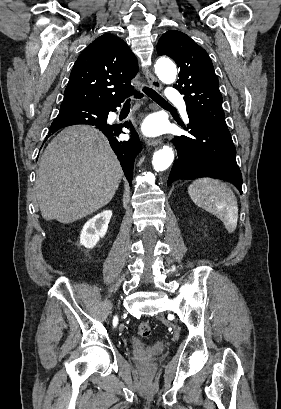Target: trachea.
<instances>
[{"label":"trachea","instance_id":"1","mask_svg":"<svg viewBox=\"0 0 281 409\" xmlns=\"http://www.w3.org/2000/svg\"><path fill=\"white\" fill-rule=\"evenodd\" d=\"M143 92L148 95L154 102L159 103V104H164V105H170L167 100H165L161 95H159L155 90L149 87H144ZM126 102H130V99H128Z\"/></svg>","mask_w":281,"mask_h":409}]
</instances>
